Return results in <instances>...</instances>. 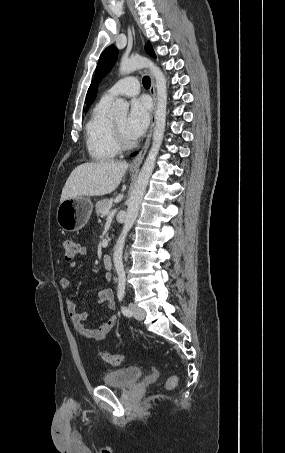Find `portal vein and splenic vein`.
<instances>
[{
  "mask_svg": "<svg viewBox=\"0 0 285 453\" xmlns=\"http://www.w3.org/2000/svg\"><path fill=\"white\" fill-rule=\"evenodd\" d=\"M108 214H109V209H104V210L102 211V215H103V216H106V215H108Z\"/></svg>",
  "mask_w": 285,
  "mask_h": 453,
  "instance_id": "portal-vein-and-splenic-vein-1",
  "label": "portal vein and splenic vein"
}]
</instances>
